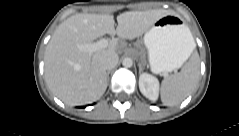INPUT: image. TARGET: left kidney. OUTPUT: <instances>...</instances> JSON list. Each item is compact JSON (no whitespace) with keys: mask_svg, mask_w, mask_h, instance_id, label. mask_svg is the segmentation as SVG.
<instances>
[{"mask_svg":"<svg viewBox=\"0 0 239 136\" xmlns=\"http://www.w3.org/2000/svg\"><path fill=\"white\" fill-rule=\"evenodd\" d=\"M139 89L146 98L156 101L159 96V81L149 73H142L139 76Z\"/></svg>","mask_w":239,"mask_h":136,"instance_id":"1","label":"left kidney"}]
</instances>
